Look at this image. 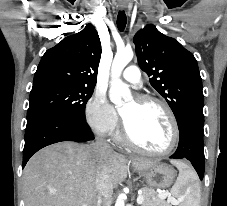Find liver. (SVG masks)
I'll use <instances>...</instances> for the list:
<instances>
[{
	"label": "liver",
	"instance_id": "liver-1",
	"mask_svg": "<svg viewBox=\"0 0 227 206\" xmlns=\"http://www.w3.org/2000/svg\"><path fill=\"white\" fill-rule=\"evenodd\" d=\"M157 161L134 159L139 173ZM131 161L115 152L101 154L95 145L64 141L37 152L23 171L25 206H95L97 172L105 167L114 185L127 176Z\"/></svg>",
	"mask_w": 227,
	"mask_h": 206
}]
</instances>
